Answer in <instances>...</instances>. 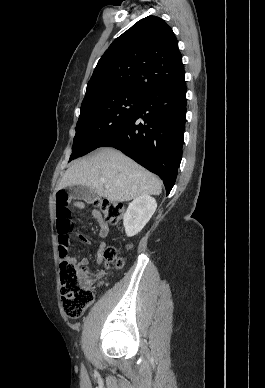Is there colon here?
Masks as SVG:
<instances>
[{
  "instance_id": "5ec220e1",
  "label": "colon",
  "mask_w": 265,
  "mask_h": 388,
  "mask_svg": "<svg viewBox=\"0 0 265 388\" xmlns=\"http://www.w3.org/2000/svg\"><path fill=\"white\" fill-rule=\"evenodd\" d=\"M93 204L101 210L105 221L110 224L119 223L125 212L124 205L108 199H96ZM56 221L62 307L69 317L78 318L92 303L94 296L88 271L73 263L69 258V239L73 231V222L69 209V197L65 191H58L56 194ZM104 258L107 265L112 264L117 268L122 267L124 263L114 247L105 249ZM99 280L102 284V274Z\"/></svg>"
}]
</instances>
